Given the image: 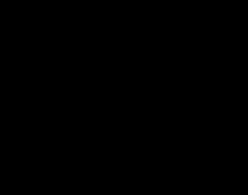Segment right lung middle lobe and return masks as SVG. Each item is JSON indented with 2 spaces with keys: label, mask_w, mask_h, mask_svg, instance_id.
<instances>
[{
  "label": "right lung middle lobe",
  "mask_w": 248,
  "mask_h": 195,
  "mask_svg": "<svg viewBox=\"0 0 248 195\" xmlns=\"http://www.w3.org/2000/svg\"><path fill=\"white\" fill-rule=\"evenodd\" d=\"M116 37V34L82 31L61 40L46 58L38 94L59 87L101 92L94 78L95 59Z\"/></svg>",
  "instance_id": "dd1d6c3e"
}]
</instances>
